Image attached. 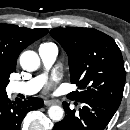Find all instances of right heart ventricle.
Returning <instances> with one entry per match:
<instances>
[{
    "instance_id": "1",
    "label": "right heart ventricle",
    "mask_w": 130,
    "mask_h": 130,
    "mask_svg": "<svg viewBox=\"0 0 130 130\" xmlns=\"http://www.w3.org/2000/svg\"><path fill=\"white\" fill-rule=\"evenodd\" d=\"M53 45L52 43H43L41 46H51Z\"/></svg>"
}]
</instances>
